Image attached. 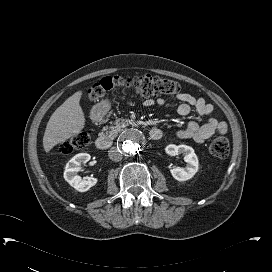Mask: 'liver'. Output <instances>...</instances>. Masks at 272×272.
Segmentation results:
<instances>
[{"mask_svg": "<svg viewBox=\"0 0 272 272\" xmlns=\"http://www.w3.org/2000/svg\"><path fill=\"white\" fill-rule=\"evenodd\" d=\"M81 95V91L75 92L51 115L43 136L45 152L79 134L84 128L85 116L79 104Z\"/></svg>", "mask_w": 272, "mask_h": 272, "instance_id": "1", "label": "liver"}]
</instances>
